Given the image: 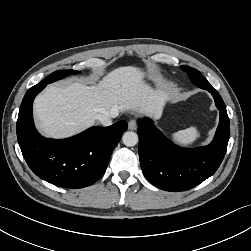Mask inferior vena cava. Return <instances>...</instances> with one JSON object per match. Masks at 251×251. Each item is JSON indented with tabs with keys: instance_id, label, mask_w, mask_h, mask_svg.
I'll use <instances>...</instances> for the list:
<instances>
[{
	"instance_id": "602c4592",
	"label": "inferior vena cava",
	"mask_w": 251,
	"mask_h": 251,
	"mask_svg": "<svg viewBox=\"0 0 251 251\" xmlns=\"http://www.w3.org/2000/svg\"><path fill=\"white\" fill-rule=\"evenodd\" d=\"M118 115L117 112H111V113H104V114H99L97 116V120L102 124L103 126H109L112 124V119L111 117H116Z\"/></svg>"
}]
</instances>
